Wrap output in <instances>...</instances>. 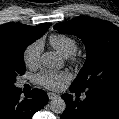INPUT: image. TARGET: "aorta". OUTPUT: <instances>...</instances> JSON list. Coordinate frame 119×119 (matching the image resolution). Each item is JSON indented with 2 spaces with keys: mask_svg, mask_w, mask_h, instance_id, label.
I'll use <instances>...</instances> for the list:
<instances>
[{
  "mask_svg": "<svg viewBox=\"0 0 119 119\" xmlns=\"http://www.w3.org/2000/svg\"><path fill=\"white\" fill-rule=\"evenodd\" d=\"M42 65L49 69H60L63 66L62 59L54 52H46L41 56ZM50 109L56 114H62L66 109V103L61 97H54L50 102Z\"/></svg>",
  "mask_w": 119,
  "mask_h": 119,
  "instance_id": "762f6f07",
  "label": "aorta"
}]
</instances>
